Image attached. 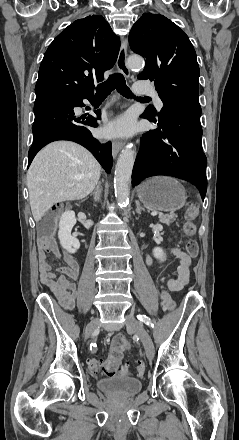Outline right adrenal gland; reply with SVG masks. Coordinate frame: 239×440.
<instances>
[{
	"label": "right adrenal gland",
	"instance_id": "right-adrenal-gland-1",
	"mask_svg": "<svg viewBox=\"0 0 239 440\" xmlns=\"http://www.w3.org/2000/svg\"><path fill=\"white\" fill-rule=\"evenodd\" d=\"M102 190H103V188L101 186V182H98L93 194H91V196H93L95 202H99Z\"/></svg>",
	"mask_w": 239,
	"mask_h": 440
}]
</instances>
